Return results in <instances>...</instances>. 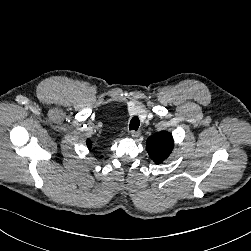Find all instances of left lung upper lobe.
Segmentation results:
<instances>
[{
    "label": "left lung upper lobe",
    "instance_id": "obj_1",
    "mask_svg": "<svg viewBox=\"0 0 251 251\" xmlns=\"http://www.w3.org/2000/svg\"><path fill=\"white\" fill-rule=\"evenodd\" d=\"M174 146L172 135L167 131H162L150 136L147 139L146 150L151 159L160 164L168 158Z\"/></svg>",
    "mask_w": 251,
    "mask_h": 251
}]
</instances>
